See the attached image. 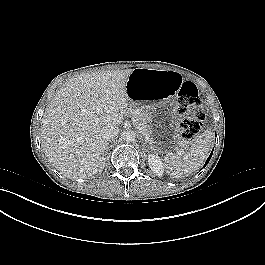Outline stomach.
<instances>
[{
    "mask_svg": "<svg viewBox=\"0 0 265 265\" xmlns=\"http://www.w3.org/2000/svg\"><path fill=\"white\" fill-rule=\"evenodd\" d=\"M179 81L180 75L174 71L150 68L134 69L127 80L128 101L141 104V125L146 145L158 155L171 153L179 142L174 123L176 108L172 102Z\"/></svg>",
    "mask_w": 265,
    "mask_h": 265,
    "instance_id": "stomach-1",
    "label": "stomach"
}]
</instances>
